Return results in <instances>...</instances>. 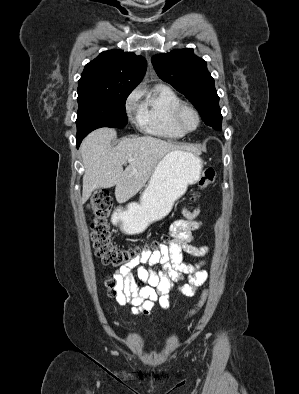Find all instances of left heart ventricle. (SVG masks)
Wrapping results in <instances>:
<instances>
[{
    "mask_svg": "<svg viewBox=\"0 0 299 394\" xmlns=\"http://www.w3.org/2000/svg\"><path fill=\"white\" fill-rule=\"evenodd\" d=\"M182 122L186 128L193 129L197 121L195 115L191 111L185 110L182 115Z\"/></svg>",
    "mask_w": 299,
    "mask_h": 394,
    "instance_id": "b2bd125f",
    "label": "left heart ventricle"
}]
</instances>
